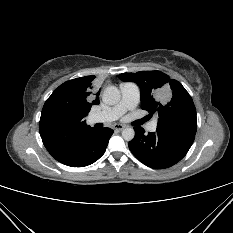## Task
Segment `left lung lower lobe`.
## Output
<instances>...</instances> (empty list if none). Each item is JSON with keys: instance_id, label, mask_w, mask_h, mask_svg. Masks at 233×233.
<instances>
[{"instance_id": "1", "label": "left lung lower lobe", "mask_w": 233, "mask_h": 233, "mask_svg": "<svg viewBox=\"0 0 233 233\" xmlns=\"http://www.w3.org/2000/svg\"><path fill=\"white\" fill-rule=\"evenodd\" d=\"M134 130L135 137L129 142V149L139 161L154 169L168 168L179 162L195 137L160 131L145 134L142 127H135Z\"/></svg>"}]
</instances>
